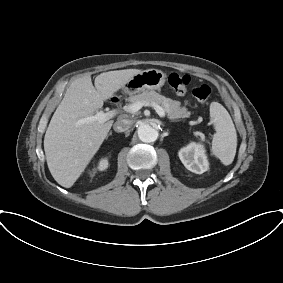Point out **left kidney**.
<instances>
[{
    "label": "left kidney",
    "mask_w": 283,
    "mask_h": 283,
    "mask_svg": "<svg viewBox=\"0 0 283 283\" xmlns=\"http://www.w3.org/2000/svg\"><path fill=\"white\" fill-rule=\"evenodd\" d=\"M179 158L191 172L202 174L209 168L205 149L202 144L190 143L179 151Z\"/></svg>",
    "instance_id": "5707ae66"
}]
</instances>
